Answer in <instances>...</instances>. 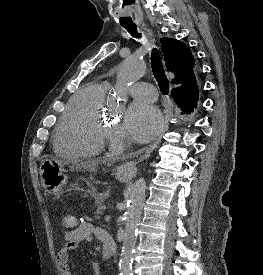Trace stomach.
I'll use <instances>...</instances> for the list:
<instances>
[{
    "mask_svg": "<svg viewBox=\"0 0 263 275\" xmlns=\"http://www.w3.org/2000/svg\"><path fill=\"white\" fill-rule=\"evenodd\" d=\"M65 163L56 159H45L40 165L41 183L45 190L55 196H59L67 184L68 175L66 174ZM117 177L123 180L119 173Z\"/></svg>",
    "mask_w": 263,
    "mask_h": 275,
    "instance_id": "0dacf381",
    "label": "stomach"
}]
</instances>
